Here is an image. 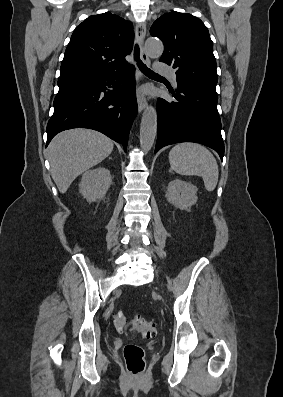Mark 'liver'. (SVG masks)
Wrapping results in <instances>:
<instances>
[{
  "label": "liver",
  "instance_id": "6515ba94",
  "mask_svg": "<svg viewBox=\"0 0 283 397\" xmlns=\"http://www.w3.org/2000/svg\"><path fill=\"white\" fill-rule=\"evenodd\" d=\"M113 141L100 132L77 128L57 134L48 146L51 175L61 193L77 176L97 165L113 150Z\"/></svg>",
  "mask_w": 283,
  "mask_h": 397
}]
</instances>
